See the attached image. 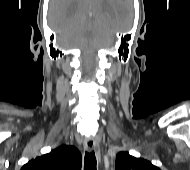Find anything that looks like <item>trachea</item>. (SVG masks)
Returning a JSON list of instances; mask_svg holds the SVG:
<instances>
[{
    "mask_svg": "<svg viewBox=\"0 0 190 170\" xmlns=\"http://www.w3.org/2000/svg\"><path fill=\"white\" fill-rule=\"evenodd\" d=\"M96 157L94 151L86 152L84 157V170H96Z\"/></svg>",
    "mask_w": 190,
    "mask_h": 170,
    "instance_id": "obj_1",
    "label": "trachea"
}]
</instances>
